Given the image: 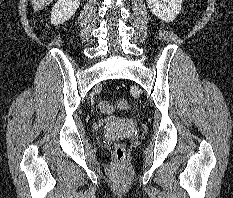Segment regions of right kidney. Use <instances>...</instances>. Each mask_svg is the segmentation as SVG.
Wrapping results in <instances>:
<instances>
[{
    "label": "right kidney",
    "mask_w": 233,
    "mask_h": 198,
    "mask_svg": "<svg viewBox=\"0 0 233 198\" xmlns=\"http://www.w3.org/2000/svg\"><path fill=\"white\" fill-rule=\"evenodd\" d=\"M80 5V0H58L52 8L51 23L61 24L69 20Z\"/></svg>",
    "instance_id": "ca27d5eb"
}]
</instances>
